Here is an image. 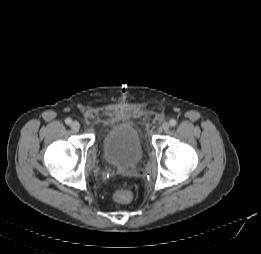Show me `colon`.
I'll list each match as a JSON object with an SVG mask.
<instances>
[{
	"mask_svg": "<svg viewBox=\"0 0 261 254\" xmlns=\"http://www.w3.org/2000/svg\"><path fill=\"white\" fill-rule=\"evenodd\" d=\"M113 198L118 203L126 204L133 199V193L129 189H121L114 193Z\"/></svg>",
	"mask_w": 261,
	"mask_h": 254,
	"instance_id": "colon-1",
	"label": "colon"
}]
</instances>
